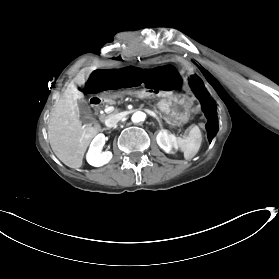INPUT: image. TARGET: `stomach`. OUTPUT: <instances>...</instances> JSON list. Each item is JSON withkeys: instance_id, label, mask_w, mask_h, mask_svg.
<instances>
[{"instance_id": "1", "label": "stomach", "mask_w": 279, "mask_h": 279, "mask_svg": "<svg viewBox=\"0 0 279 279\" xmlns=\"http://www.w3.org/2000/svg\"><path fill=\"white\" fill-rule=\"evenodd\" d=\"M159 108L165 116L172 117L175 120H182L190 114L192 103L185 96L173 95L161 99Z\"/></svg>"}]
</instances>
